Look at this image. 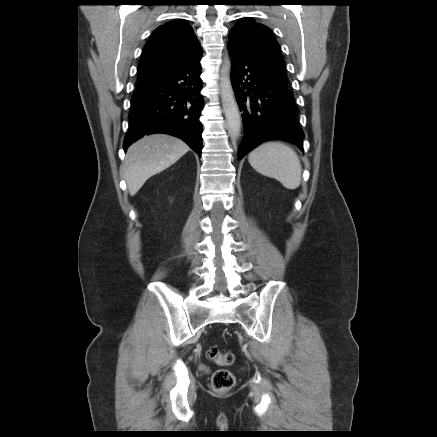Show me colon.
I'll return each instance as SVG.
<instances>
[{
  "label": "colon",
  "instance_id": "1",
  "mask_svg": "<svg viewBox=\"0 0 437 437\" xmlns=\"http://www.w3.org/2000/svg\"><path fill=\"white\" fill-rule=\"evenodd\" d=\"M207 358L220 366H230L234 362V355L230 352H221L216 346H211L206 352ZM212 388L215 392L225 393L232 389L235 384L234 374L226 369H217L211 380Z\"/></svg>",
  "mask_w": 437,
  "mask_h": 437
}]
</instances>
